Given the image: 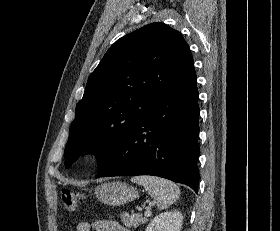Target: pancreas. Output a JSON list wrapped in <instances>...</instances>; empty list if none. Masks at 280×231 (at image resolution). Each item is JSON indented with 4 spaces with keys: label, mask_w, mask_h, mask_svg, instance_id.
<instances>
[{
    "label": "pancreas",
    "mask_w": 280,
    "mask_h": 231,
    "mask_svg": "<svg viewBox=\"0 0 280 231\" xmlns=\"http://www.w3.org/2000/svg\"><path fill=\"white\" fill-rule=\"evenodd\" d=\"M120 217L121 221H123L127 227H132V225L136 227V225H141V223L148 221L147 217H142L140 213H131V215H129V213L125 211V213H121Z\"/></svg>",
    "instance_id": "cf45deb5"
}]
</instances>
